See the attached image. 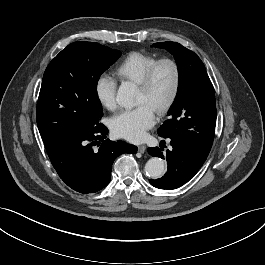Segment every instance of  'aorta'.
Returning a JSON list of instances; mask_svg holds the SVG:
<instances>
[{"label":"aorta","mask_w":265,"mask_h":265,"mask_svg":"<svg viewBox=\"0 0 265 265\" xmlns=\"http://www.w3.org/2000/svg\"><path fill=\"white\" fill-rule=\"evenodd\" d=\"M136 95L137 89L135 85L123 83L117 91L116 101L120 106L130 108L135 105ZM144 171L152 179L160 178L165 172L164 161L161 158L152 157L146 162Z\"/></svg>","instance_id":"762f6f07"}]
</instances>
